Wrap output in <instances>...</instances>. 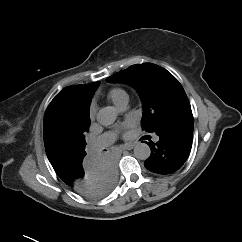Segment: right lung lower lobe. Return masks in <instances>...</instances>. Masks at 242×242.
Here are the masks:
<instances>
[{
	"mask_svg": "<svg viewBox=\"0 0 242 242\" xmlns=\"http://www.w3.org/2000/svg\"><path fill=\"white\" fill-rule=\"evenodd\" d=\"M58 176L77 193L92 199L106 196L117 181L116 160L112 155H85Z\"/></svg>",
	"mask_w": 242,
	"mask_h": 242,
	"instance_id": "1",
	"label": "right lung lower lobe"
}]
</instances>
